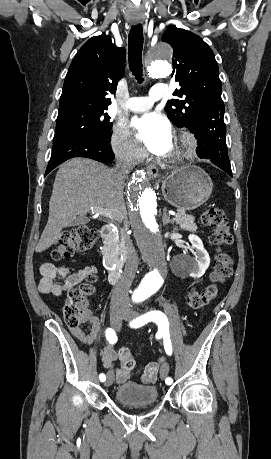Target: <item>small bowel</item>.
<instances>
[{"label":"small bowel","mask_w":271,"mask_h":459,"mask_svg":"<svg viewBox=\"0 0 271 459\" xmlns=\"http://www.w3.org/2000/svg\"><path fill=\"white\" fill-rule=\"evenodd\" d=\"M41 276L38 282V289L43 294H52L61 296L65 291L73 288L86 277L96 273L95 267H85L77 272H70L65 266H55L50 263L42 265L40 270ZM86 328L77 326L71 327L72 335L80 342L89 346L100 347V320L90 315L84 320ZM102 357V365L113 375L117 383H123L130 378V372L119 368L116 365L117 353L109 345L102 346L99 350ZM160 362H148L142 366L141 381L144 384L152 383L156 380Z\"/></svg>","instance_id":"small-bowel-1"}]
</instances>
